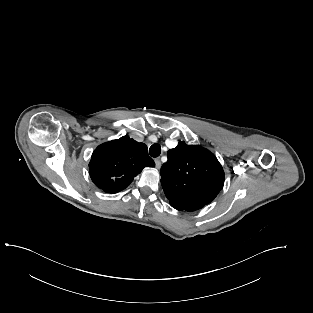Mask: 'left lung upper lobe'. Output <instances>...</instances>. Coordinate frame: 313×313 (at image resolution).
Segmentation results:
<instances>
[{
    "mask_svg": "<svg viewBox=\"0 0 313 313\" xmlns=\"http://www.w3.org/2000/svg\"><path fill=\"white\" fill-rule=\"evenodd\" d=\"M161 184L170 205L195 211L209 204L224 185V171L213 153L199 145L179 142L167 153Z\"/></svg>",
    "mask_w": 313,
    "mask_h": 313,
    "instance_id": "1",
    "label": "left lung upper lobe"
}]
</instances>
